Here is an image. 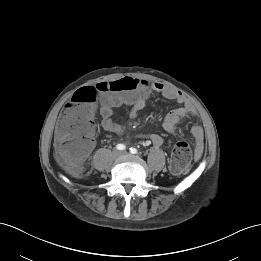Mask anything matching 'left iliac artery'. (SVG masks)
<instances>
[{"mask_svg": "<svg viewBox=\"0 0 261 261\" xmlns=\"http://www.w3.org/2000/svg\"><path fill=\"white\" fill-rule=\"evenodd\" d=\"M130 153L132 154H136L137 153V149L136 148H130Z\"/></svg>", "mask_w": 261, "mask_h": 261, "instance_id": "obj_1", "label": "left iliac artery"}]
</instances>
